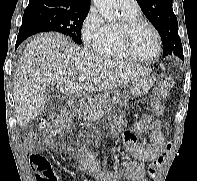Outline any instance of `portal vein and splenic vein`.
Wrapping results in <instances>:
<instances>
[{
  "label": "portal vein and splenic vein",
  "instance_id": "obj_1",
  "mask_svg": "<svg viewBox=\"0 0 197 181\" xmlns=\"http://www.w3.org/2000/svg\"><path fill=\"white\" fill-rule=\"evenodd\" d=\"M90 77L87 75H79L78 80L79 81H86L88 80Z\"/></svg>",
  "mask_w": 197,
  "mask_h": 181
}]
</instances>
